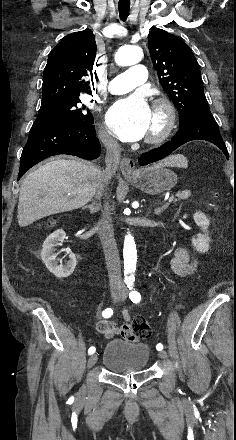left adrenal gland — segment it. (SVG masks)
Segmentation results:
<instances>
[{"label": "left adrenal gland", "mask_w": 236, "mask_h": 440, "mask_svg": "<svg viewBox=\"0 0 236 440\" xmlns=\"http://www.w3.org/2000/svg\"><path fill=\"white\" fill-rule=\"evenodd\" d=\"M169 206V203H166L165 205H163L162 207H158L154 210V213L156 215H160L161 212H163L165 209H167V207Z\"/></svg>", "instance_id": "obj_1"}]
</instances>
